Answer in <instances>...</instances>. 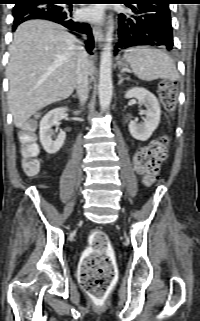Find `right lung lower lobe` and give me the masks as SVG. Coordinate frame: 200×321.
I'll use <instances>...</instances> for the list:
<instances>
[{
  "label": "right lung lower lobe",
  "mask_w": 200,
  "mask_h": 321,
  "mask_svg": "<svg viewBox=\"0 0 200 321\" xmlns=\"http://www.w3.org/2000/svg\"><path fill=\"white\" fill-rule=\"evenodd\" d=\"M66 3L72 5L73 2L63 0H27L20 4H17L13 8V30L24 21L30 19H45L56 22L64 27L88 35V41L86 42L88 53L92 54L93 49V37L92 31L87 23L76 21L71 14V7L67 8L60 4Z\"/></svg>",
  "instance_id": "1"
}]
</instances>
